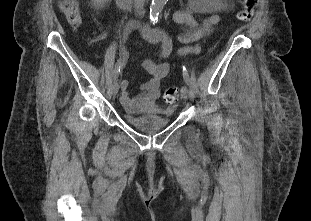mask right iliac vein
Wrapping results in <instances>:
<instances>
[{
	"instance_id": "63e3f726",
	"label": "right iliac vein",
	"mask_w": 311,
	"mask_h": 221,
	"mask_svg": "<svg viewBox=\"0 0 311 221\" xmlns=\"http://www.w3.org/2000/svg\"><path fill=\"white\" fill-rule=\"evenodd\" d=\"M118 90H119V84L117 81H114L112 86H111V92H112V95L115 97L118 93Z\"/></svg>"
}]
</instances>
